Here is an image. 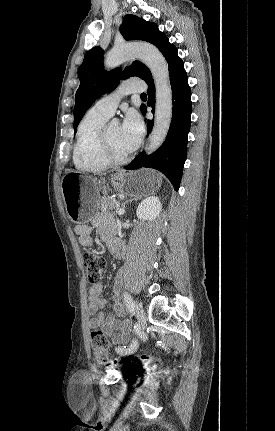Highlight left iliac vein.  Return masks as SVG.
<instances>
[{
	"label": "left iliac vein",
	"instance_id": "obj_1",
	"mask_svg": "<svg viewBox=\"0 0 275 431\" xmlns=\"http://www.w3.org/2000/svg\"><path fill=\"white\" fill-rule=\"evenodd\" d=\"M135 316L138 321V327L140 330H144L146 326V314L140 303H136L135 307Z\"/></svg>",
	"mask_w": 275,
	"mask_h": 431
}]
</instances>
